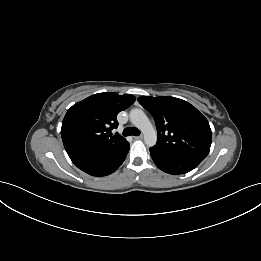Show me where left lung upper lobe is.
I'll use <instances>...</instances> for the list:
<instances>
[{
	"label": "left lung upper lobe",
	"instance_id": "left-lung-upper-lobe-1",
	"mask_svg": "<svg viewBox=\"0 0 261 261\" xmlns=\"http://www.w3.org/2000/svg\"><path fill=\"white\" fill-rule=\"evenodd\" d=\"M156 122V147L203 160L211 146L207 119L190 103L175 97L138 98Z\"/></svg>",
	"mask_w": 261,
	"mask_h": 261
}]
</instances>
